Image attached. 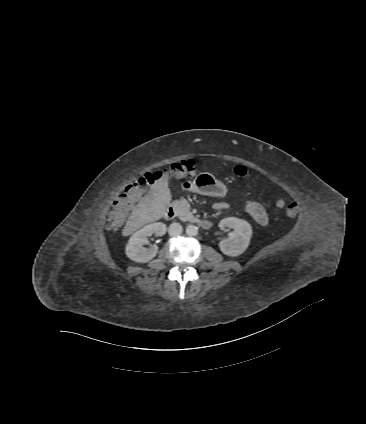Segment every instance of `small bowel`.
Segmentation results:
<instances>
[{
	"instance_id": "small-bowel-1",
	"label": "small bowel",
	"mask_w": 366,
	"mask_h": 424,
	"mask_svg": "<svg viewBox=\"0 0 366 424\" xmlns=\"http://www.w3.org/2000/svg\"><path fill=\"white\" fill-rule=\"evenodd\" d=\"M214 209L217 211H225L227 209V204L225 202H216L214 204ZM244 209L249 214V216L259 225L265 226L268 224L269 218L268 214L263 205L256 201H246L244 203Z\"/></svg>"
}]
</instances>
